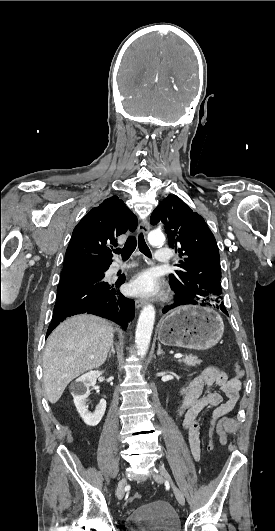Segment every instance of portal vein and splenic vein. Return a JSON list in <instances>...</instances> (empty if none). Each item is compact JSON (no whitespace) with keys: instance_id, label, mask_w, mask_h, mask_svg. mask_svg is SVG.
Segmentation results:
<instances>
[{"instance_id":"18ae733b","label":"portal vein and splenic vein","mask_w":275,"mask_h":531,"mask_svg":"<svg viewBox=\"0 0 275 531\" xmlns=\"http://www.w3.org/2000/svg\"><path fill=\"white\" fill-rule=\"evenodd\" d=\"M175 359H181V357H183V355H181V353H177V355H174Z\"/></svg>"}]
</instances>
